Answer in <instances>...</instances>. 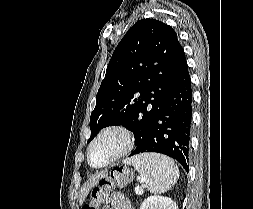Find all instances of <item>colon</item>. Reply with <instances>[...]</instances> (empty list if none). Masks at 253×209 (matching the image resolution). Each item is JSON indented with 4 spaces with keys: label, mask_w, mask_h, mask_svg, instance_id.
<instances>
[{
    "label": "colon",
    "mask_w": 253,
    "mask_h": 209,
    "mask_svg": "<svg viewBox=\"0 0 253 209\" xmlns=\"http://www.w3.org/2000/svg\"><path fill=\"white\" fill-rule=\"evenodd\" d=\"M132 180V174L125 169L115 170L109 177L101 181L94 187L91 192L92 201L86 204L82 209H98L99 203L102 201L106 191L112 186H124Z\"/></svg>",
    "instance_id": "5ec220e1"
}]
</instances>
